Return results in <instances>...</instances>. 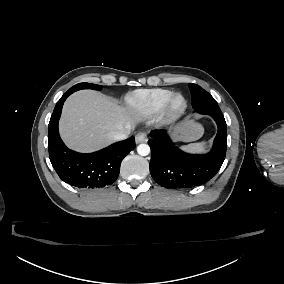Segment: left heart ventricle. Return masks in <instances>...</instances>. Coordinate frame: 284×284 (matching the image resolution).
<instances>
[{
  "label": "left heart ventricle",
  "mask_w": 284,
  "mask_h": 284,
  "mask_svg": "<svg viewBox=\"0 0 284 284\" xmlns=\"http://www.w3.org/2000/svg\"><path fill=\"white\" fill-rule=\"evenodd\" d=\"M182 100L181 98H176L173 102V107L174 109H178L181 106Z\"/></svg>",
  "instance_id": "obj_1"
}]
</instances>
